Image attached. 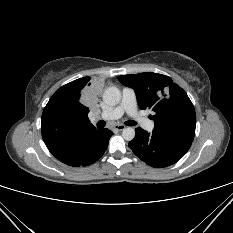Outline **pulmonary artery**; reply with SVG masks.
<instances>
[{
	"label": "pulmonary artery",
	"mask_w": 233,
	"mask_h": 233,
	"mask_svg": "<svg viewBox=\"0 0 233 233\" xmlns=\"http://www.w3.org/2000/svg\"><path fill=\"white\" fill-rule=\"evenodd\" d=\"M124 113H127L146 130L153 129L154 123L143 117L137 110V99L134 90L127 87L122 91V100L120 104L109 111L101 113L99 118L104 120H116L122 117Z\"/></svg>",
	"instance_id": "obj_1"
}]
</instances>
